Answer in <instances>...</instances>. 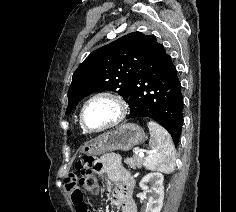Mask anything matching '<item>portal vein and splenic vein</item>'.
<instances>
[{"instance_id": "1", "label": "portal vein and splenic vein", "mask_w": 236, "mask_h": 212, "mask_svg": "<svg viewBox=\"0 0 236 212\" xmlns=\"http://www.w3.org/2000/svg\"><path fill=\"white\" fill-rule=\"evenodd\" d=\"M134 153L139 155L140 157L144 156V150L139 149V148L134 149Z\"/></svg>"}]
</instances>
